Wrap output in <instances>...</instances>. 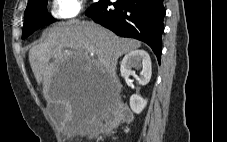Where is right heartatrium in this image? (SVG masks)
<instances>
[{
    "mask_svg": "<svg viewBox=\"0 0 227 142\" xmlns=\"http://www.w3.org/2000/svg\"><path fill=\"white\" fill-rule=\"evenodd\" d=\"M83 10L82 0H53L52 17L57 20L76 18Z\"/></svg>",
    "mask_w": 227,
    "mask_h": 142,
    "instance_id": "obj_1",
    "label": "right heart atrium"
}]
</instances>
